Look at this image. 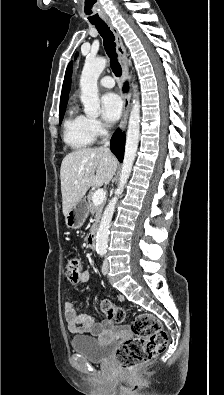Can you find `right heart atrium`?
Segmentation results:
<instances>
[{
  "mask_svg": "<svg viewBox=\"0 0 224 395\" xmlns=\"http://www.w3.org/2000/svg\"><path fill=\"white\" fill-rule=\"evenodd\" d=\"M89 126L95 136H100L104 133V126L97 118L89 117Z\"/></svg>",
  "mask_w": 224,
  "mask_h": 395,
  "instance_id": "right-heart-atrium-1",
  "label": "right heart atrium"
}]
</instances>
